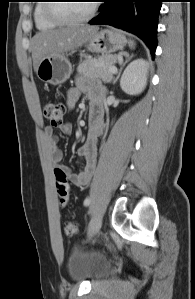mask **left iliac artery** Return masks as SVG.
<instances>
[{"label":"left iliac artery","instance_id":"left-iliac-artery-1","mask_svg":"<svg viewBox=\"0 0 195 299\" xmlns=\"http://www.w3.org/2000/svg\"><path fill=\"white\" fill-rule=\"evenodd\" d=\"M90 202H91V200H90L89 198H86V199L84 200V205H85V206H89ZM89 232H90V227H89Z\"/></svg>","mask_w":195,"mask_h":299}]
</instances>
